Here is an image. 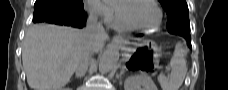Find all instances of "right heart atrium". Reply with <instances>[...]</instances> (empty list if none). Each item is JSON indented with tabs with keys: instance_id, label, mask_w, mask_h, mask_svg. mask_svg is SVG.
Segmentation results:
<instances>
[{
	"instance_id": "obj_1",
	"label": "right heart atrium",
	"mask_w": 228,
	"mask_h": 90,
	"mask_svg": "<svg viewBox=\"0 0 228 90\" xmlns=\"http://www.w3.org/2000/svg\"><path fill=\"white\" fill-rule=\"evenodd\" d=\"M86 8L91 16L100 19L105 24H110L114 18V6L108 0H86Z\"/></svg>"
}]
</instances>
